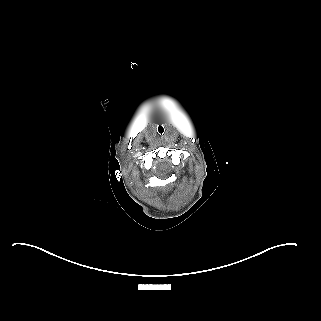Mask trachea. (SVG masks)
I'll list each match as a JSON object with an SVG mask.
<instances>
[{
	"label": "trachea",
	"mask_w": 321,
	"mask_h": 321,
	"mask_svg": "<svg viewBox=\"0 0 321 321\" xmlns=\"http://www.w3.org/2000/svg\"><path fill=\"white\" fill-rule=\"evenodd\" d=\"M157 132L158 133H163L164 132V127L163 126H161L162 125V122L159 120L158 122H157Z\"/></svg>",
	"instance_id": "1"
}]
</instances>
